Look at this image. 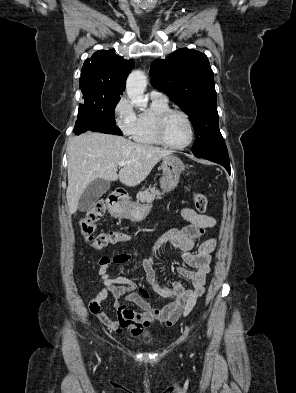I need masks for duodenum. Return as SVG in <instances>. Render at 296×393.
Segmentation results:
<instances>
[{
  "instance_id": "duodenum-1",
  "label": "duodenum",
  "mask_w": 296,
  "mask_h": 393,
  "mask_svg": "<svg viewBox=\"0 0 296 393\" xmlns=\"http://www.w3.org/2000/svg\"><path fill=\"white\" fill-rule=\"evenodd\" d=\"M125 201V195L121 191H117L109 196L107 202L112 212L120 208L121 204Z\"/></svg>"
}]
</instances>
